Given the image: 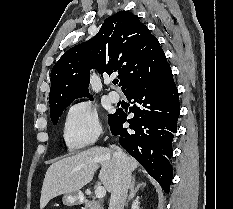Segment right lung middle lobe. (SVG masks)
<instances>
[{"label": "right lung middle lobe", "mask_w": 233, "mask_h": 209, "mask_svg": "<svg viewBox=\"0 0 233 209\" xmlns=\"http://www.w3.org/2000/svg\"><path fill=\"white\" fill-rule=\"evenodd\" d=\"M69 105L70 104L60 106V107H58L55 110H53V111L50 112L51 120H52V122H53L54 125L57 124L60 115L62 114V112L64 111V109L67 106H69ZM108 117H109V121H110L112 119V117H113V114L108 115Z\"/></svg>", "instance_id": "1"}]
</instances>
